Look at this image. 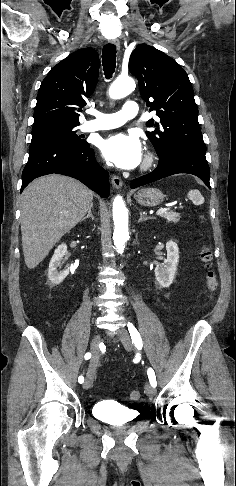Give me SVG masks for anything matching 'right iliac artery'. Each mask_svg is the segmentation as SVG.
<instances>
[{
  "label": "right iliac artery",
  "mask_w": 236,
  "mask_h": 486,
  "mask_svg": "<svg viewBox=\"0 0 236 486\" xmlns=\"http://www.w3.org/2000/svg\"><path fill=\"white\" fill-rule=\"evenodd\" d=\"M84 358L86 360L90 359L91 358V353L90 352L86 353L85 356H84ZM78 382L79 383H83L84 382V377L83 376H79Z\"/></svg>",
  "instance_id": "82829eb1"
}]
</instances>
